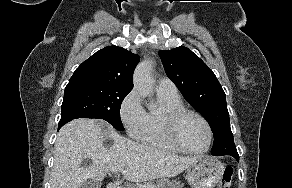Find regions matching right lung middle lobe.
<instances>
[{"label": "right lung middle lobe", "instance_id": "obj_1", "mask_svg": "<svg viewBox=\"0 0 292 188\" xmlns=\"http://www.w3.org/2000/svg\"><path fill=\"white\" fill-rule=\"evenodd\" d=\"M130 89L88 81L69 82L65 88L61 119L98 118L123 131L120 107Z\"/></svg>", "mask_w": 292, "mask_h": 188}]
</instances>
